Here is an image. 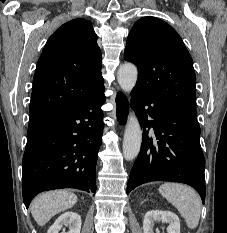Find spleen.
Masks as SVG:
<instances>
[{"instance_id":"spleen-1","label":"spleen","mask_w":227,"mask_h":233,"mask_svg":"<svg viewBox=\"0 0 227 233\" xmlns=\"http://www.w3.org/2000/svg\"><path fill=\"white\" fill-rule=\"evenodd\" d=\"M159 192L177 208L188 228L195 229L198 226L201 213L200 200L192 188L183 184L164 183L159 187Z\"/></svg>"}]
</instances>
